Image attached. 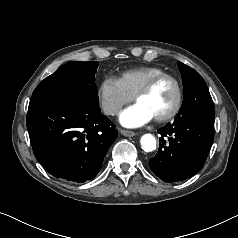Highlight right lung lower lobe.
I'll return each instance as SVG.
<instances>
[{
    "label": "right lung lower lobe",
    "instance_id": "1",
    "mask_svg": "<svg viewBox=\"0 0 238 238\" xmlns=\"http://www.w3.org/2000/svg\"><path fill=\"white\" fill-rule=\"evenodd\" d=\"M26 123L36 159L54 177L78 183L97 175L117 138L99 105L79 97H32Z\"/></svg>",
    "mask_w": 238,
    "mask_h": 238
}]
</instances>
